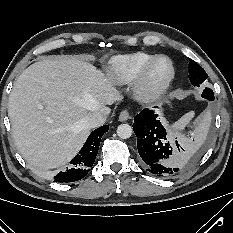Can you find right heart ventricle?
<instances>
[{"label": "right heart ventricle", "instance_id": "e07e8e85", "mask_svg": "<svg viewBox=\"0 0 233 233\" xmlns=\"http://www.w3.org/2000/svg\"><path fill=\"white\" fill-rule=\"evenodd\" d=\"M155 57L156 55L147 52L115 56L109 61L108 75L118 84H129L137 78L142 68Z\"/></svg>", "mask_w": 233, "mask_h": 233}]
</instances>
